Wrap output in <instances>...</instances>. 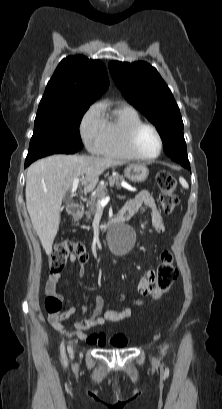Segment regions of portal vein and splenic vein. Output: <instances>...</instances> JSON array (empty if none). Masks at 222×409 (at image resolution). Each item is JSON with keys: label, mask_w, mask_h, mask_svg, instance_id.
I'll return each instance as SVG.
<instances>
[{"label": "portal vein and splenic vein", "mask_w": 222, "mask_h": 409, "mask_svg": "<svg viewBox=\"0 0 222 409\" xmlns=\"http://www.w3.org/2000/svg\"><path fill=\"white\" fill-rule=\"evenodd\" d=\"M79 184V178L74 179L73 184H72V189L71 192L74 193L78 187ZM108 199H102L99 201L100 206H104L107 203Z\"/></svg>", "instance_id": "portal-vein-and-splenic-vein-1"}]
</instances>
